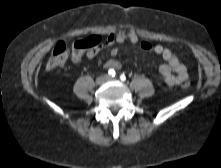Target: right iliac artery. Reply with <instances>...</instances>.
<instances>
[{
  "label": "right iliac artery",
  "instance_id": "82829eb1",
  "mask_svg": "<svg viewBox=\"0 0 221 168\" xmlns=\"http://www.w3.org/2000/svg\"><path fill=\"white\" fill-rule=\"evenodd\" d=\"M108 74H109V76L114 77L115 74H116V72H115L114 69H109V70H108Z\"/></svg>",
  "mask_w": 221,
  "mask_h": 168
}]
</instances>
